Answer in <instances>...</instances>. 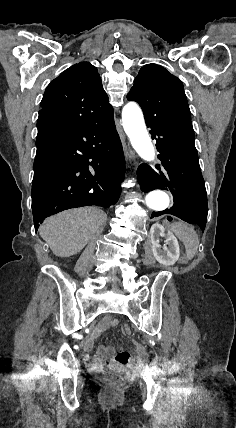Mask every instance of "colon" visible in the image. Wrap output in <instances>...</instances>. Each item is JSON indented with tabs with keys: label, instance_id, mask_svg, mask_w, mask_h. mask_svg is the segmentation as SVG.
Segmentation results:
<instances>
[{
	"label": "colon",
	"instance_id": "1",
	"mask_svg": "<svg viewBox=\"0 0 236 428\" xmlns=\"http://www.w3.org/2000/svg\"><path fill=\"white\" fill-rule=\"evenodd\" d=\"M123 332L126 335H130L131 334V329L129 326H124L123 327ZM126 382V377L122 374H114L111 375L107 381V388L112 391V392H117L119 391L125 384Z\"/></svg>",
	"mask_w": 236,
	"mask_h": 428
}]
</instances>
